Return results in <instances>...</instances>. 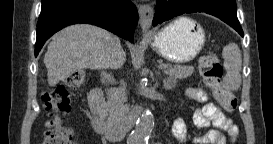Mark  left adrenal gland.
<instances>
[{
  "mask_svg": "<svg viewBox=\"0 0 273 144\" xmlns=\"http://www.w3.org/2000/svg\"><path fill=\"white\" fill-rule=\"evenodd\" d=\"M158 75H160V73H157ZM175 86V81L171 78H165L163 80V88L166 90H170Z\"/></svg>",
  "mask_w": 273,
  "mask_h": 144,
  "instance_id": "obj_1",
  "label": "left adrenal gland"
}]
</instances>
